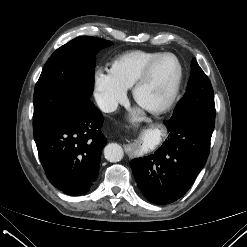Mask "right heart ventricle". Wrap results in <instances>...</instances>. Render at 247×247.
Segmentation results:
<instances>
[{"label":"right heart ventricle","mask_w":247,"mask_h":247,"mask_svg":"<svg viewBox=\"0 0 247 247\" xmlns=\"http://www.w3.org/2000/svg\"><path fill=\"white\" fill-rule=\"evenodd\" d=\"M160 52L135 50L118 56L110 65V72L125 89L133 86L145 66Z\"/></svg>","instance_id":"e07e8e85"}]
</instances>
